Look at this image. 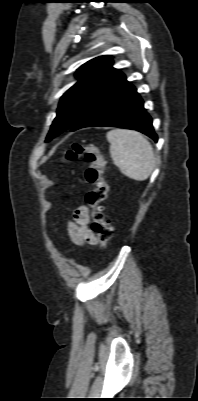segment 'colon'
<instances>
[{
    "instance_id": "1",
    "label": "colon",
    "mask_w": 198,
    "mask_h": 401,
    "mask_svg": "<svg viewBox=\"0 0 198 401\" xmlns=\"http://www.w3.org/2000/svg\"><path fill=\"white\" fill-rule=\"evenodd\" d=\"M79 158H84L88 162L85 179L92 189L87 193L85 201L90 208L92 231L100 247L105 248L112 237V228L104 213L109 192L104 174V161L98 146L73 143L66 153V159L74 161Z\"/></svg>"
}]
</instances>
